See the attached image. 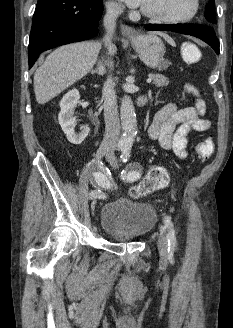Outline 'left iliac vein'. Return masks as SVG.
<instances>
[{
	"instance_id": "obj_1",
	"label": "left iliac vein",
	"mask_w": 233,
	"mask_h": 328,
	"mask_svg": "<svg viewBox=\"0 0 233 328\" xmlns=\"http://www.w3.org/2000/svg\"><path fill=\"white\" fill-rule=\"evenodd\" d=\"M106 159L112 167H117V159L113 151H109V153L106 155ZM158 249L162 255L167 254L168 242L164 230H161V233L158 238Z\"/></svg>"
}]
</instances>
